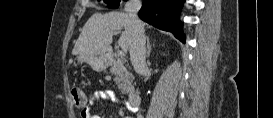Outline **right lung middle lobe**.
Masks as SVG:
<instances>
[{
	"label": "right lung middle lobe",
	"instance_id": "right-lung-middle-lobe-1",
	"mask_svg": "<svg viewBox=\"0 0 273 118\" xmlns=\"http://www.w3.org/2000/svg\"><path fill=\"white\" fill-rule=\"evenodd\" d=\"M99 1V0H98ZM108 4V8L115 9L120 5V0H104Z\"/></svg>",
	"mask_w": 273,
	"mask_h": 118
}]
</instances>
